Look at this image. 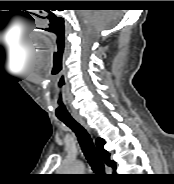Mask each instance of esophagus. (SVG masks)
<instances>
[{
  "label": "esophagus",
  "instance_id": "34e87169",
  "mask_svg": "<svg viewBox=\"0 0 174 184\" xmlns=\"http://www.w3.org/2000/svg\"><path fill=\"white\" fill-rule=\"evenodd\" d=\"M76 119H77L81 124H83L87 129H89L88 126L85 124V122L83 121V119H82L81 117H76Z\"/></svg>",
  "mask_w": 174,
  "mask_h": 184
}]
</instances>
